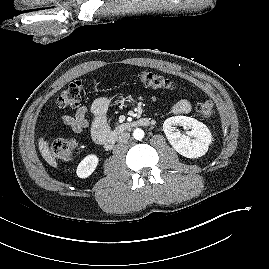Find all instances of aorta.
Returning <instances> with one entry per match:
<instances>
[{"instance_id":"762f6f07","label":"aorta","mask_w":269,"mask_h":269,"mask_svg":"<svg viewBox=\"0 0 269 269\" xmlns=\"http://www.w3.org/2000/svg\"><path fill=\"white\" fill-rule=\"evenodd\" d=\"M133 137L136 139V140H141L143 139L144 137V131L140 128H136L134 131H133Z\"/></svg>"}]
</instances>
